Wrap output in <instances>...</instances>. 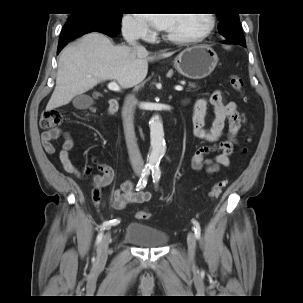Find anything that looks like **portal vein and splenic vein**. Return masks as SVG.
Instances as JSON below:
<instances>
[{
    "label": "portal vein and splenic vein",
    "instance_id": "18ae733b",
    "mask_svg": "<svg viewBox=\"0 0 303 303\" xmlns=\"http://www.w3.org/2000/svg\"><path fill=\"white\" fill-rule=\"evenodd\" d=\"M107 87H108L109 90L114 91V92H120L121 91L120 86L114 81L110 82ZM175 90L182 91L183 87L181 85H177V86H175Z\"/></svg>",
    "mask_w": 303,
    "mask_h": 303
}]
</instances>
